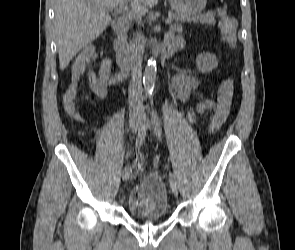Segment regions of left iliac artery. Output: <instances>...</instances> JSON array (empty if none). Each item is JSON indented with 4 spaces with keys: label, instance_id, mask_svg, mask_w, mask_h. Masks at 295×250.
<instances>
[{
    "label": "left iliac artery",
    "instance_id": "1",
    "mask_svg": "<svg viewBox=\"0 0 295 250\" xmlns=\"http://www.w3.org/2000/svg\"><path fill=\"white\" fill-rule=\"evenodd\" d=\"M151 122H152V126H153L156 137L158 138L159 141H162V128H161L160 118L155 108H152V111H151ZM169 181H170V186L177 185L175 177L173 173L171 172L169 173Z\"/></svg>",
    "mask_w": 295,
    "mask_h": 250
}]
</instances>
